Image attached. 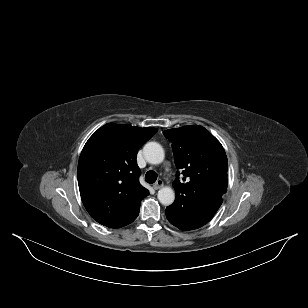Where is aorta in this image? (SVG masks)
I'll return each mask as SVG.
<instances>
[{
    "instance_id": "762f6f07",
    "label": "aorta",
    "mask_w": 308,
    "mask_h": 308,
    "mask_svg": "<svg viewBox=\"0 0 308 308\" xmlns=\"http://www.w3.org/2000/svg\"><path fill=\"white\" fill-rule=\"evenodd\" d=\"M144 156L151 164H160L165 157L163 147L156 142L144 146ZM158 199L163 205H171L175 200V192L171 187H163L158 191Z\"/></svg>"
}]
</instances>
